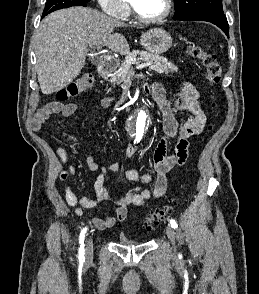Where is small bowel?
<instances>
[{"instance_id": "obj_1", "label": "small bowel", "mask_w": 259, "mask_h": 294, "mask_svg": "<svg viewBox=\"0 0 259 294\" xmlns=\"http://www.w3.org/2000/svg\"><path fill=\"white\" fill-rule=\"evenodd\" d=\"M151 96L162 113V123L165 131L164 137L158 143L154 151V169L156 172L155 186L153 189L145 187L143 189L134 188L120 197H113L107 190L108 172L116 171L118 163L100 165L92 156H87L86 163L91 171L100 170L94 184L97 199L88 197L77 198L70 187L65 188V199L69 206L73 207L79 216L84 214L85 209L96 208L99 203L108 201L111 203L115 216L104 215L93 218V224L99 230H106L114 227L118 222H123L127 217V208L130 205L144 206L148 202L161 197L166 190L167 175L175 166L183 165L188 157V139L200 134L207 122V117L198 103L199 93L195 86L184 81L178 88V98L171 104L166 98V90L160 83H153L150 86ZM111 100L106 98L102 105L108 107ZM78 110L75 103H64L54 101L39 109L31 121L34 131H40L43 124L53 115L70 117ZM177 112H187L188 117L185 122L179 124L175 118ZM171 143L176 146L175 155H169L168 147ZM137 151L136 146L126 149L125 155L131 158ZM71 172L75 174V168L71 167ZM125 178L129 182H141L150 185L153 177L149 173L141 174L137 169H128Z\"/></svg>"}]
</instances>
